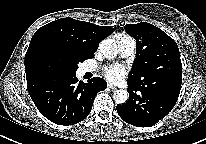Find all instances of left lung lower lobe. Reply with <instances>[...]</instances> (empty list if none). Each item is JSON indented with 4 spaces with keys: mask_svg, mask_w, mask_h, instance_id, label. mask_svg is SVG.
Segmentation results:
<instances>
[{
    "mask_svg": "<svg viewBox=\"0 0 206 144\" xmlns=\"http://www.w3.org/2000/svg\"><path fill=\"white\" fill-rule=\"evenodd\" d=\"M129 100L117 106L118 115L125 122L149 127L164 118L176 104L181 86L148 87L128 81Z\"/></svg>",
    "mask_w": 206,
    "mask_h": 144,
    "instance_id": "obj_1",
    "label": "left lung lower lobe"
}]
</instances>
